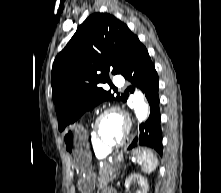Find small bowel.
<instances>
[{
	"mask_svg": "<svg viewBox=\"0 0 221 193\" xmlns=\"http://www.w3.org/2000/svg\"><path fill=\"white\" fill-rule=\"evenodd\" d=\"M104 193H115V192L112 190H106Z\"/></svg>",
	"mask_w": 221,
	"mask_h": 193,
	"instance_id": "small-bowel-1",
	"label": "small bowel"
}]
</instances>
